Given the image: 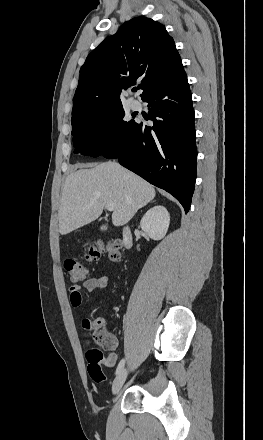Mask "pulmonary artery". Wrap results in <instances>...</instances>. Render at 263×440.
Returning <instances> with one entry per match:
<instances>
[{
	"label": "pulmonary artery",
	"instance_id": "obj_1",
	"mask_svg": "<svg viewBox=\"0 0 263 440\" xmlns=\"http://www.w3.org/2000/svg\"><path fill=\"white\" fill-rule=\"evenodd\" d=\"M130 106L133 110H138L140 108V103L136 99H131Z\"/></svg>",
	"mask_w": 263,
	"mask_h": 440
}]
</instances>
